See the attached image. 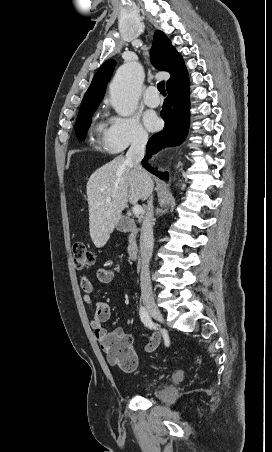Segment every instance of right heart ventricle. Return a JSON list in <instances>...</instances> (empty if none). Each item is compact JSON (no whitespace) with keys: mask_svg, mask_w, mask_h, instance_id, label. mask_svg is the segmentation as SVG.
Segmentation results:
<instances>
[{"mask_svg":"<svg viewBox=\"0 0 272 452\" xmlns=\"http://www.w3.org/2000/svg\"><path fill=\"white\" fill-rule=\"evenodd\" d=\"M103 130V125L102 124H99L98 126H97V132H100V131H102Z\"/></svg>","mask_w":272,"mask_h":452,"instance_id":"obj_1","label":"right heart ventricle"}]
</instances>
